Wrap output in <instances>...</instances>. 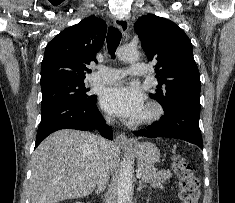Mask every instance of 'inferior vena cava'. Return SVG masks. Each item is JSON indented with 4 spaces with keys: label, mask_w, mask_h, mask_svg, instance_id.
I'll return each instance as SVG.
<instances>
[{
    "label": "inferior vena cava",
    "mask_w": 235,
    "mask_h": 203,
    "mask_svg": "<svg viewBox=\"0 0 235 203\" xmlns=\"http://www.w3.org/2000/svg\"><path fill=\"white\" fill-rule=\"evenodd\" d=\"M106 120L109 124L112 122V119L109 117L106 118ZM99 145L103 153V159L101 161V164L98 170L97 186H98V190L103 191L106 188V185L109 180V165L106 159L109 142L99 137Z\"/></svg>",
    "instance_id": "obj_1"
}]
</instances>
